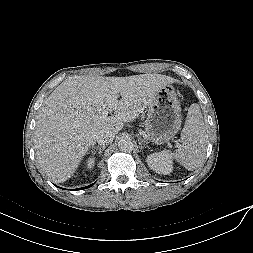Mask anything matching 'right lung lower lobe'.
<instances>
[{
  "label": "right lung lower lobe",
  "mask_w": 253,
  "mask_h": 253,
  "mask_svg": "<svg viewBox=\"0 0 253 253\" xmlns=\"http://www.w3.org/2000/svg\"><path fill=\"white\" fill-rule=\"evenodd\" d=\"M92 185H93V184H91V185H89V186H86V187H83V188H79L78 190L89 188V187H91Z\"/></svg>",
  "instance_id": "obj_1"
}]
</instances>
